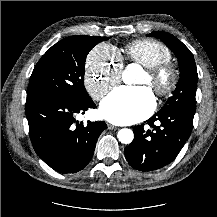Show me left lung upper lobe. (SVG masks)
Segmentation results:
<instances>
[{
    "label": "left lung upper lobe",
    "instance_id": "1",
    "mask_svg": "<svg viewBox=\"0 0 217 217\" xmlns=\"http://www.w3.org/2000/svg\"><path fill=\"white\" fill-rule=\"evenodd\" d=\"M162 40L174 52L180 67V79L173 95L159 112L171 109H185L195 112V95L198 80L197 68L193 54L175 36L167 32L157 31L149 34Z\"/></svg>",
    "mask_w": 217,
    "mask_h": 217
}]
</instances>
